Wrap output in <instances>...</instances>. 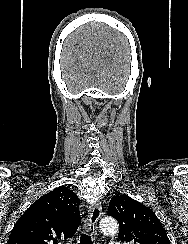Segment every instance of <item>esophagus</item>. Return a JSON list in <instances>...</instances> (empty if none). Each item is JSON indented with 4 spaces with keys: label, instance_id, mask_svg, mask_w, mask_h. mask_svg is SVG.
I'll use <instances>...</instances> for the list:
<instances>
[{
    "label": "esophagus",
    "instance_id": "obj_1",
    "mask_svg": "<svg viewBox=\"0 0 188 244\" xmlns=\"http://www.w3.org/2000/svg\"><path fill=\"white\" fill-rule=\"evenodd\" d=\"M101 206L95 203L89 207L88 215L84 223V230L87 234L97 235V222L101 216Z\"/></svg>",
    "mask_w": 188,
    "mask_h": 244
}]
</instances>
